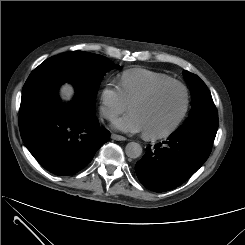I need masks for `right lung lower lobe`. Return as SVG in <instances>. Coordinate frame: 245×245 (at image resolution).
<instances>
[{"mask_svg": "<svg viewBox=\"0 0 245 245\" xmlns=\"http://www.w3.org/2000/svg\"><path fill=\"white\" fill-rule=\"evenodd\" d=\"M22 140L35 159L53 174L66 176L84 168L109 140L93 112H77L72 103L49 104L37 113L19 117Z\"/></svg>", "mask_w": 245, "mask_h": 245, "instance_id": "98d812e1", "label": "right lung lower lobe"}]
</instances>
